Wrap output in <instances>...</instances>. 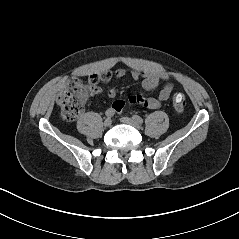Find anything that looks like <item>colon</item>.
Listing matches in <instances>:
<instances>
[{"instance_id":"colon-1","label":"colon","mask_w":239,"mask_h":239,"mask_svg":"<svg viewBox=\"0 0 239 239\" xmlns=\"http://www.w3.org/2000/svg\"><path fill=\"white\" fill-rule=\"evenodd\" d=\"M94 78L84 82L80 79H70L66 88L60 93L57 104L60 108L61 116L66 121L77 119L83 111L84 103L91 94ZM185 97L182 93H176L173 98V107L177 115L183 113Z\"/></svg>"}]
</instances>
